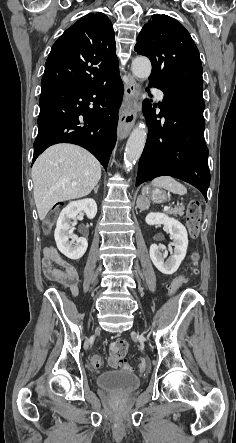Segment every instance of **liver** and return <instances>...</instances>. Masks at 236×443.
Segmentation results:
<instances>
[{
  "instance_id": "6515ba94",
  "label": "liver",
  "mask_w": 236,
  "mask_h": 443,
  "mask_svg": "<svg viewBox=\"0 0 236 443\" xmlns=\"http://www.w3.org/2000/svg\"><path fill=\"white\" fill-rule=\"evenodd\" d=\"M101 178V165L87 150L57 144L45 150L32 167L34 200L40 220L54 204L90 194Z\"/></svg>"
}]
</instances>
